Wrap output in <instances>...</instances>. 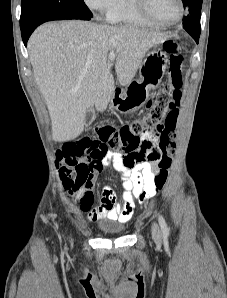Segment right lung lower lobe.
I'll return each mask as SVG.
<instances>
[{
	"label": "right lung lower lobe",
	"instance_id": "obj_1",
	"mask_svg": "<svg viewBox=\"0 0 227 298\" xmlns=\"http://www.w3.org/2000/svg\"><path fill=\"white\" fill-rule=\"evenodd\" d=\"M63 19H77V18L58 17V16L46 17V18L39 19L34 23H32L31 25H29L28 27L22 29L21 32H22V39H23L24 45L25 46L27 45V41L30 35L40 24L51 20H63Z\"/></svg>",
	"mask_w": 227,
	"mask_h": 298
}]
</instances>
